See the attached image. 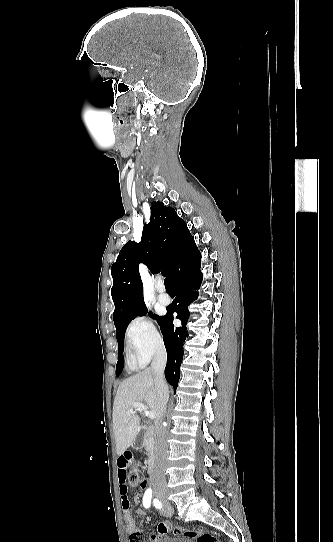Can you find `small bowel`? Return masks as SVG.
<instances>
[{
	"mask_svg": "<svg viewBox=\"0 0 333 542\" xmlns=\"http://www.w3.org/2000/svg\"><path fill=\"white\" fill-rule=\"evenodd\" d=\"M126 452L120 456L118 459V471H117V481H118V493L120 496V505L122 508V514L123 519L126 522V530L128 533H132L138 529V524L135 521L132 511H131V504L128 497V487L126 484V475H127V468L131 461V456L128 453L130 450L127 448L125 450ZM150 485L149 479H143L142 483L140 484L141 490H146L147 486ZM134 502L135 504L139 505L142 502V496L141 494L137 493L134 496ZM145 513L144 509L139 507L135 510V514L138 516H142ZM153 542H157L158 539L156 536L152 537Z\"/></svg>",
	"mask_w": 333,
	"mask_h": 542,
	"instance_id": "1",
	"label": "small bowel"
}]
</instances>
